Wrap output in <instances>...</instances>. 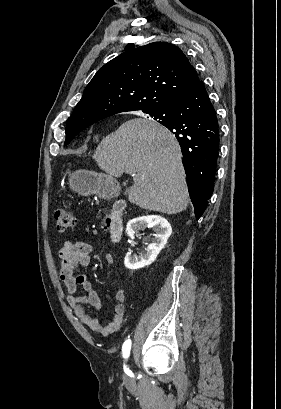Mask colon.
Segmentation results:
<instances>
[{
  "mask_svg": "<svg viewBox=\"0 0 281 409\" xmlns=\"http://www.w3.org/2000/svg\"><path fill=\"white\" fill-rule=\"evenodd\" d=\"M54 221L57 230L60 232H65L69 228L73 227L75 223V216L72 210L60 207L54 212Z\"/></svg>",
  "mask_w": 281,
  "mask_h": 409,
  "instance_id": "1",
  "label": "colon"
}]
</instances>
